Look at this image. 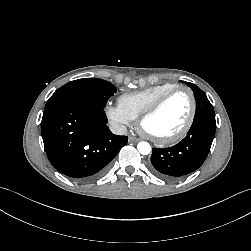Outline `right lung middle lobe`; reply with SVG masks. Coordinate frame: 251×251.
<instances>
[{
	"label": "right lung middle lobe",
	"mask_w": 251,
	"mask_h": 251,
	"mask_svg": "<svg viewBox=\"0 0 251 251\" xmlns=\"http://www.w3.org/2000/svg\"><path fill=\"white\" fill-rule=\"evenodd\" d=\"M115 91L113 84L102 79H78L57 89L47 101L45 108L64 102L87 103L104 108Z\"/></svg>",
	"instance_id": "dd1d6c3e"
}]
</instances>
